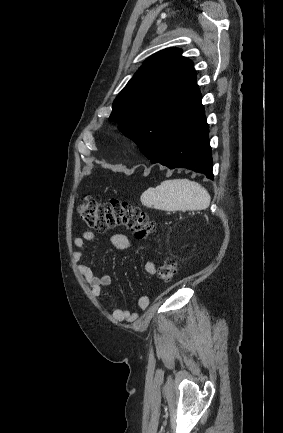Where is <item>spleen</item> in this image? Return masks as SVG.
<instances>
[{
  "instance_id": "3e777b00",
  "label": "spleen",
  "mask_w": 283,
  "mask_h": 433,
  "mask_svg": "<svg viewBox=\"0 0 283 433\" xmlns=\"http://www.w3.org/2000/svg\"><path fill=\"white\" fill-rule=\"evenodd\" d=\"M210 200L206 188L188 178L163 180L156 188H147L141 194L142 204L159 210H203Z\"/></svg>"
}]
</instances>
